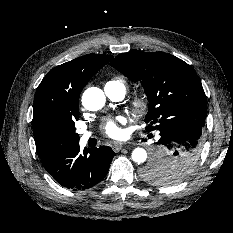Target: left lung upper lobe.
<instances>
[{"instance_id":"obj_1","label":"left lung upper lobe","mask_w":233,"mask_h":233,"mask_svg":"<svg viewBox=\"0 0 233 233\" xmlns=\"http://www.w3.org/2000/svg\"><path fill=\"white\" fill-rule=\"evenodd\" d=\"M110 65L141 82L149 101L147 131L181 120L205 122L207 104L201 81L183 60L164 52L140 51L119 54ZM196 164L189 157L167 165L151 161L142 176L151 183L172 185L187 177Z\"/></svg>"}]
</instances>
